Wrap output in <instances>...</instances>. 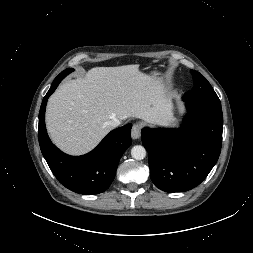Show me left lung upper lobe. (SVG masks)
I'll return each instance as SVG.
<instances>
[{"mask_svg": "<svg viewBox=\"0 0 253 253\" xmlns=\"http://www.w3.org/2000/svg\"><path fill=\"white\" fill-rule=\"evenodd\" d=\"M194 87L184 94V101L220 103L210 83L199 72L191 70Z\"/></svg>", "mask_w": 253, "mask_h": 253, "instance_id": "5c2ea615", "label": "left lung upper lobe"}]
</instances>
